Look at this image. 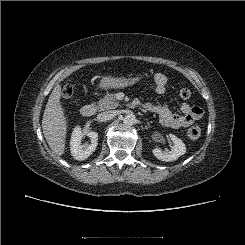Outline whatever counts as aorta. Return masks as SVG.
<instances>
[{
    "label": "aorta",
    "mask_w": 245,
    "mask_h": 245,
    "mask_svg": "<svg viewBox=\"0 0 245 245\" xmlns=\"http://www.w3.org/2000/svg\"><path fill=\"white\" fill-rule=\"evenodd\" d=\"M136 122V117L133 114H128L123 118V123L125 125H133Z\"/></svg>",
    "instance_id": "1"
}]
</instances>
